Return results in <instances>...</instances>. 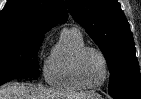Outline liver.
I'll list each match as a JSON object with an SVG mask.
<instances>
[{
  "label": "liver",
  "mask_w": 141,
  "mask_h": 99,
  "mask_svg": "<svg viewBox=\"0 0 141 99\" xmlns=\"http://www.w3.org/2000/svg\"><path fill=\"white\" fill-rule=\"evenodd\" d=\"M91 95L95 94H68L54 89H48L43 86L26 84H7L0 89V99H86Z\"/></svg>",
  "instance_id": "6515ba94"
}]
</instances>
